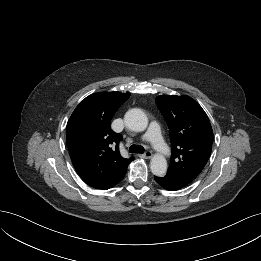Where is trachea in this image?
Returning a JSON list of instances; mask_svg holds the SVG:
<instances>
[{
  "instance_id": "3493384b",
  "label": "trachea",
  "mask_w": 261,
  "mask_h": 261,
  "mask_svg": "<svg viewBox=\"0 0 261 261\" xmlns=\"http://www.w3.org/2000/svg\"><path fill=\"white\" fill-rule=\"evenodd\" d=\"M129 152L130 153H140V154H143L144 153V148L140 145H131L130 148H129Z\"/></svg>"
}]
</instances>
